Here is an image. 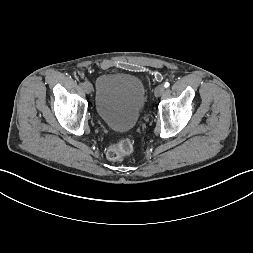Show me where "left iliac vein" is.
Wrapping results in <instances>:
<instances>
[{
    "label": "left iliac vein",
    "mask_w": 253,
    "mask_h": 253,
    "mask_svg": "<svg viewBox=\"0 0 253 253\" xmlns=\"http://www.w3.org/2000/svg\"><path fill=\"white\" fill-rule=\"evenodd\" d=\"M164 92H165V86L163 84H160L155 88L154 94L156 97H160Z\"/></svg>",
    "instance_id": "left-iliac-vein-1"
}]
</instances>
